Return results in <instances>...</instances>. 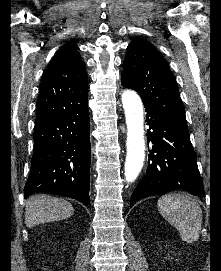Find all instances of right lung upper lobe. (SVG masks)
<instances>
[{"label": "right lung upper lobe", "mask_w": 221, "mask_h": 271, "mask_svg": "<svg viewBox=\"0 0 221 271\" xmlns=\"http://www.w3.org/2000/svg\"><path fill=\"white\" fill-rule=\"evenodd\" d=\"M88 77L75 42L63 45L44 70L35 124L80 111L88 106Z\"/></svg>", "instance_id": "1"}]
</instances>
